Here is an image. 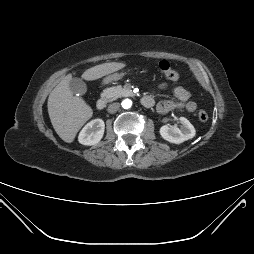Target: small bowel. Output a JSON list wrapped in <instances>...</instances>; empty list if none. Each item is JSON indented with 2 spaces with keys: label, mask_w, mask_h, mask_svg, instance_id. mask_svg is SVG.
Returning a JSON list of instances; mask_svg holds the SVG:
<instances>
[{
  "label": "small bowel",
  "mask_w": 254,
  "mask_h": 254,
  "mask_svg": "<svg viewBox=\"0 0 254 254\" xmlns=\"http://www.w3.org/2000/svg\"><path fill=\"white\" fill-rule=\"evenodd\" d=\"M161 89L166 88V84L160 85ZM175 100H162L156 108L159 113L165 114L174 109H184L188 112H194L197 109V104L190 99V92L182 86H176L173 89Z\"/></svg>",
  "instance_id": "1"
}]
</instances>
